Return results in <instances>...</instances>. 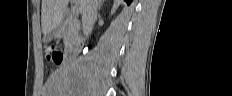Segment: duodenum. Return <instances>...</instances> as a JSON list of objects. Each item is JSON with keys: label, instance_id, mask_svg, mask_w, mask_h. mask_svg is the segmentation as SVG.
Returning <instances> with one entry per match:
<instances>
[{"label": "duodenum", "instance_id": "duodenum-1", "mask_svg": "<svg viewBox=\"0 0 232 96\" xmlns=\"http://www.w3.org/2000/svg\"><path fill=\"white\" fill-rule=\"evenodd\" d=\"M83 43L81 40L77 41L76 44L68 48L65 52L67 61H74L82 50Z\"/></svg>", "mask_w": 232, "mask_h": 96}]
</instances>
